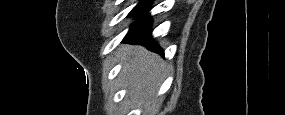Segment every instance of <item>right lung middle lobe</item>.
Returning <instances> with one entry per match:
<instances>
[{"label":"right lung middle lobe","mask_w":285,"mask_h":115,"mask_svg":"<svg viewBox=\"0 0 285 115\" xmlns=\"http://www.w3.org/2000/svg\"><path fill=\"white\" fill-rule=\"evenodd\" d=\"M152 0H141L130 12V15H140L150 8Z\"/></svg>","instance_id":"dd1d6c3e"}]
</instances>
